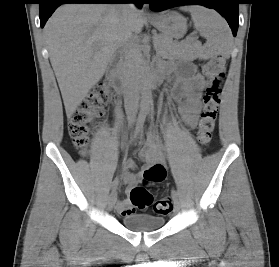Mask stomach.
Here are the masks:
<instances>
[{
    "label": "stomach",
    "mask_w": 279,
    "mask_h": 267,
    "mask_svg": "<svg viewBox=\"0 0 279 267\" xmlns=\"http://www.w3.org/2000/svg\"><path fill=\"white\" fill-rule=\"evenodd\" d=\"M150 22L168 38H181L187 31L186 18L174 11L157 15L155 18L151 19Z\"/></svg>",
    "instance_id": "0dacf381"
}]
</instances>
